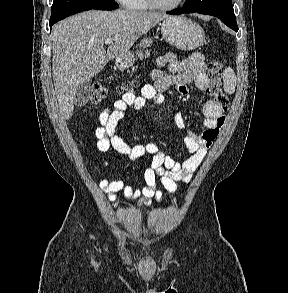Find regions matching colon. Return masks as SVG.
I'll use <instances>...</instances> for the list:
<instances>
[{
	"label": "colon",
	"mask_w": 288,
	"mask_h": 293,
	"mask_svg": "<svg viewBox=\"0 0 288 293\" xmlns=\"http://www.w3.org/2000/svg\"><path fill=\"white\" fill-rule=\"evenodd\" d=\"M210 85L207 89L209 94L213 96L218 106L226 111L229 107V100L222 90V64L219 61H213L209 64ZM136 82H126L120 87V91L132 93L136 87ZM108 95V88L102 82H95L91 87V102L98 104L103 101Z\"/></svg>",
	"instance_id": "colon-1"
}]
</instances>
